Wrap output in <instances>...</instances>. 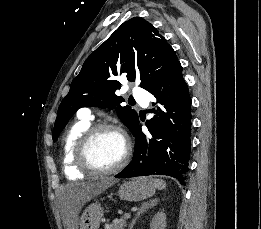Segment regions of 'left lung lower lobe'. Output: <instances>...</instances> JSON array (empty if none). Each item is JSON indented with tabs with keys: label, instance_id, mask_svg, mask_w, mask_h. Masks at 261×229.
Segmentation results:
<instances>
[{
	"label": "left lung lower lobe",
	"instance_id": "1",
	"mask_svg": "<svg viewBox=\"0 0 261 229\" xmlns=\"http://www.w3.org/2000/svg\"><path fill=\"white\" fill-rule=\"evenodd\" d=\"M147 91L158 103L157 110H153L156 116L146 122L151 135L141 131L138 119L132 132L135 137L133 160L115 177L162 174L183 180L189 172L192 100L180 62Z\"/></svg>",
	"mask_w": 261,
	"mask_h": 229
}]
</instances>
